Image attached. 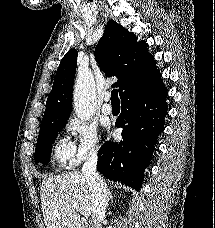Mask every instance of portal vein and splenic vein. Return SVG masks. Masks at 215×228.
I'll list each match as a JSON object with an SVG mask.
<instances>
[{"label": "portal vein and splenic vein", "instance_id": "obj_1", "mask_svg": "<svg viewBox=\"0 0 215 228\" xmlns=\"http://www.w3.org/2000/svg\"><path fill=\"white\" fill-rule=\"evenodd\" d=\"M73 208H75V210H79L80 214H82V216H88L87 214V210H84V208H82V206H78V204H72Z\"/></svg>", "mask_w": 215, "mask_h": 228}]
</instances>
